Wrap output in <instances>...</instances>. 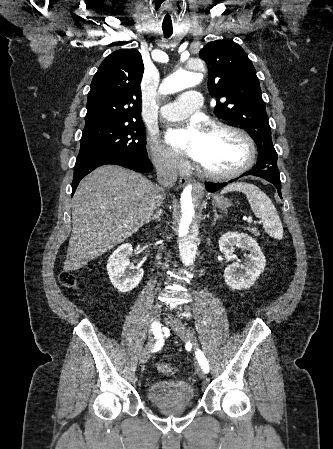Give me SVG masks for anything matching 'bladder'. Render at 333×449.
<instances>
[{"instance_id":"1","label":"bladder","mask_w":333,"mask_h":449,"mask_svg":"<svg viewBox=\"0 0 333 449\" xmlns=\"http://www.w3.org/2000/svg\"><path fill=\"white\" fill-rule=\"evenodd\" d=\"M147 399L156 407L189 406L193 403V387L181 380H163L150 384Z\"/></svg>"}]
</instances>
